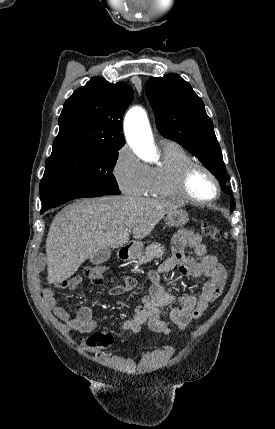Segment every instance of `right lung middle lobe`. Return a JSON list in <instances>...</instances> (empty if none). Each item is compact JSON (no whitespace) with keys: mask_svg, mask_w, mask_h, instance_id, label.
I'll return each mask as SVG.
<instances>
[{"mask_svg":"<svg viewBox=\"0 0 275 429\" xmlns=\"http://www.w3.org/2000/svg\"><path fill=\"white\" fill-rule=\"evenodd\" d=\"M118 149H70L52 152L40 182L41 201L69 192L120 194L113 169Z\"/></svg>","mask_w":275,"mask_h":429,"instance_id":"right-lung-middle-lobe-1","label":"right lung middle lobe"}]
</instances>
